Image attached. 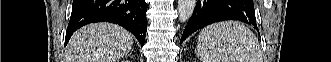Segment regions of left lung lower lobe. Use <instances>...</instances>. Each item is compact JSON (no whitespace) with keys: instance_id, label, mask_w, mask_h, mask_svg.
<instances>
[{"instance_id":"obj_1","label":"left lung lower lobe","mask_w":331,"mask_h":62,"mask_svg":"<svg viewBox=\"0 0 331 62\" xmlns=\"http://www.w3.org/2000/svg\"><path fill=\"white\" fill-rule=\"evenodd\" d=\"M224 20H239L258 30L253 0H198L181 43L198 29Z\"/></svg>"}]
</instances>
